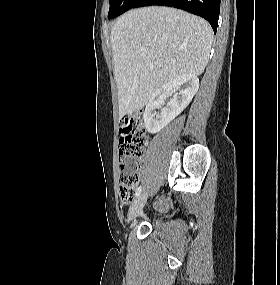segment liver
Segmentation results:
<instances>
[{"mask_svg":"<svg viewBox=\"0 0 280 285\" xmlns=\"http://www.w3.org/2000/svg\"><path fill=\"white\" fill-rule=\"evenodd\" d=\"M213 30L204 19L168 7L123 14L110 34L119 116L142 109L162 85L203 73Z\"/></svg>","mask_w":280,"mask_h":285,"instance_id":"6515ba94","label":"liver"}]
</instances>
